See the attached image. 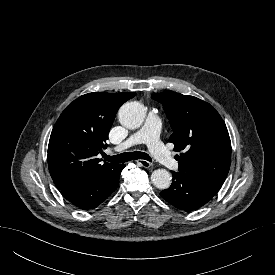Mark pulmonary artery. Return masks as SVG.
I'll list each match as a JSON object with an SVG mask.
<instances>
[{
  "label": "pulmonary artery",
  "mask_w": 275,
  "mask_h": 275,
  "mask_svg": "<svg viewBox=\"0 0 275 275\" xmlns=\"http://www.w3.org/2000/svg\"><path fill=\"white\" fill-rule=\"evenodd\" d=\"M161 122L159 114L150 110L144 126L119 145L127 149L136 144H146L155 159L169 169L176 170L179 163L172 157L160 139Z\"/></svg>",
  "instance_id": "pulmonary-artery-1"
}]
</instances>
